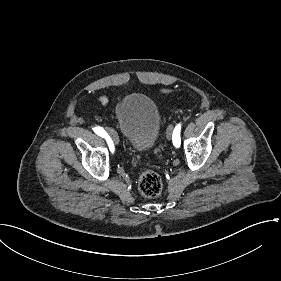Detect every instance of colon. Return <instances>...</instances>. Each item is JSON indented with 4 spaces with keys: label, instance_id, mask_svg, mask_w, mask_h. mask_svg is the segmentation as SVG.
I'll use <instances>...</instances> for the list:
<instances>
[{
    "label": "colon",
    "instance_id": "1",
    "mask_svg": "<svg viewBox=\"0 0 281 281\" xmlns=\"http://www.w3.org/2000/svg\"><path fill=\"white\" fill-rule=\"evenodd\" d=\"M138 187L145 197L154 198L161 193L163 181L156 171L145 169L139 177Z\"/></svg>",
    "mask_w": 281,
    "mask_h": 281
}]
</instances>
